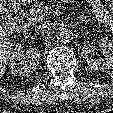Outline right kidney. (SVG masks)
<instances>
[{"label": "right kidney", "mask_w": 113, "mask_h": 113, "mask_svg": "<svg viewBox=\"0 0 113 113\" xmlns=\"http://www.w3.org/2000/svg\"><path fill=\"white\" fill-rule=\"evenodd\" d=\"M25 56L30 57L29 63H24ZM40 51L37 48L28 49L24 53L23 46L18 43L14 48L11 58V72L15 76L29 75L32 73L39 64Z\"/></svg>", "instance_id": "1"}]
</instances>
